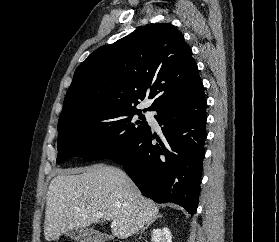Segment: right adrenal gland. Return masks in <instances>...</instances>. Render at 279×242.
Segmentation results:
<instances>
[{
  "instance_id": "obj_1",
  "label": "right adrenal gland",
  "mask_w": 279,
  "mask_h": 242,
  "mask_svg": "<svg viewBox=\"0 0 279 242\" xmlns=\"http://www.w3.org/2000/svg\"><path fill=\"white\" fill-rule=\"evenodd\" d=\"M161 217H162L161 214L157 215V217H156L154 220H152L151 222H149V223L146 225V227H144V228L141 230V232L144 231L145 229H147L157 218H161Z\"/></svg>"
}]
</instances>
